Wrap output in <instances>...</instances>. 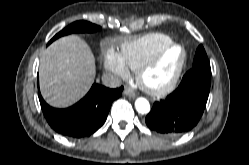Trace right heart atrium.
Listing matches in <instances>:
<instances>
[{"mask_svg":"<svg viewBox=\"0 0 249 165\" xmlns=\"http://www.w3.org/2000/svg\"><path fill=\"white\" fill-rule=\"evenodd\" d=\"M104 66L107 71L118 78H127L130 74L129 67L121 55L112 49H108L104 55Z\"/></svg>","mask_w":249,"mask_h":165,"instance_id":"d8ad5b80","label":"right heart atrium"}]
</instances>
